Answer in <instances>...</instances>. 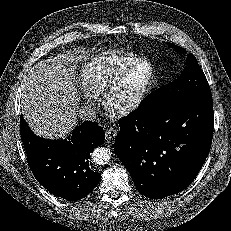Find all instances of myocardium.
<instances>
[{
  "label": "myocardium",
  "mask_w": 231,
  "mask_h": 231,
  "mask_svg": "<svg viewBox=\"0 0 231 231\" xmlns=\"http://www.w3.org/2000/svg\"><path fill=\"white\" fill-rule=\"evenodd\" d=\"M142 66L150 70L147 84L132 98L123 99L122 93L132 74ZM156 84V70L151 61L140 59L130 66L120 77H118L103 93V105L108 114L115 117L126 116L135 111L149 96Z\"/></svg>",
  "instance_id": "1"
}]
</instances>
